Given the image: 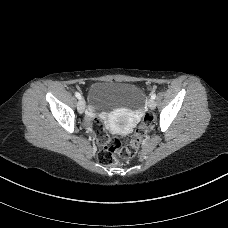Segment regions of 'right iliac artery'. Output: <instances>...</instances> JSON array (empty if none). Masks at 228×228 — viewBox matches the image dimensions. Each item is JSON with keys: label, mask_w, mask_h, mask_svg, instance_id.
I'll return each instance as SVG.
<instances>
[{"label": "right iliac artery", "mask_w": 228, "mask_h": 228, "mask_svg": "<svg viewBox=\"0 0 228 228\" xmlns=\"http://www.w3.org/2000/svg\"><path fill=\"white\" fill-rule=\"evenodd\" d=\"M75 96L78 98V99H81V95L79 92H75Z\"/></svg>", "instance_id": "1"}]
</instances>
